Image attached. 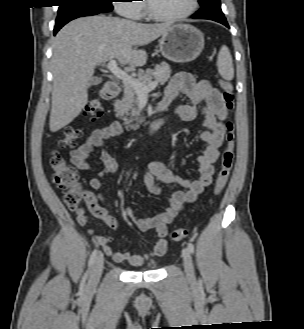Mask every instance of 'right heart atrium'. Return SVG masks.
Returning <instances> with one entry per match:
<instances>
[{"label": "right heart atrium", "instance_id": "1", "mask_svg": "<svg viewBox=\"0 0 304 329\" xmlns=\"http://www.w3.org/2000/svg\"><path fill=\"white\" fill-rule=\"evenodd\" d=\"M116 11L130 19H140L143 15V3L136 4L134 2H142V0H116Z\"/></svg>", "mask_w": 304, "mask_h": 329}]
</instances>
